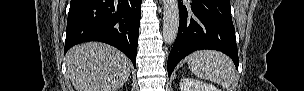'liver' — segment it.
Returning <instances> with one entry per match:
<instances>
[{
	"label": "liver",
	"mask_w": 304,
	"mask_h": 91,
	"mask_svg": "<svg viewBox=\"0 0 304 91\" xmlns=\"http://www.w3.org/2000/svg\"><path fill=\"white\" fill-rule=\"evenodd\" d=\"M68 76L76 91H117L130 76V60L116 48L87 42L66 55Z\"/></svg>",
	"instance_id": "liver-1"
}]
</instances>
